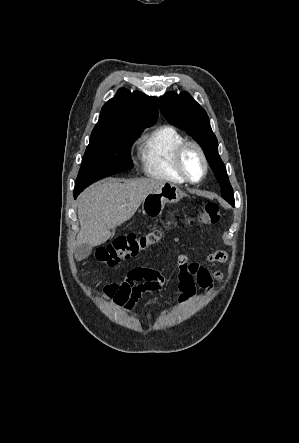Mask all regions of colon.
Here are the masks:
<instances>
[{
    "mask_svg": "<svg viewBox=\"0 0 299 443\" xmlns=\"http://www.w3.org/2000/svg\"><path fill=\"white\" fill-rule=\"evenodd\" d=\"M220 217L219 205L215 202H208L204 205L202 212L196 216L186 215L182 221L187 225L196 222L201 225H214L220 220ZM161 235L162 230L154 229L147 233H129L120 236L112 243L99 248L97 259L107 267H112L123 259L139 255L158 242Z\"/></svg>",
    "mask_w": 299,
    "mask_h": 443,
    "instance_id": "obj_1",
    "label": "colon"
}]
</instances>
